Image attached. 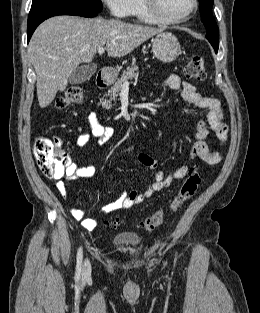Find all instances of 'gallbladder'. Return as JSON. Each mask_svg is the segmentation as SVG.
<instances>
[{"label": "gallbladder", "mask_w": 260, "mask_h": 313, "mask_svg": "<svg viewBox=\"0 0 260 313\" xmlns=\"http://www.w3.org/2000/svg\"><path fill=\"white\" fill-rule=\"evenodd\" d=\"M96 66H81L75 69L69 77L70 84H81L89 80L95 73Z\"/></svg>", "instance_id": "obj_1"}]
</instances>
